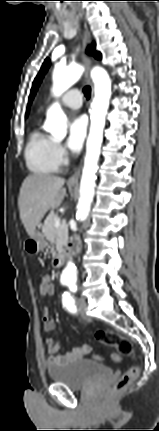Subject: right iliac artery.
<instances>
[{"label": "right iliac artery", "instance_id": "82829eb1", "mask_svg": "<svg viewBox=\"0 0 159 431\" xmlns=\"http://www.w3.org/2000/svg\"><path fill=\"white\" fill-rule=\"evenodd\" d=\"M69 287L71 288V290H74V289H75V285H74V283L69 284Z\"/></svg>", "mask_w": 159, "mask_h": 431}]
</instances>
